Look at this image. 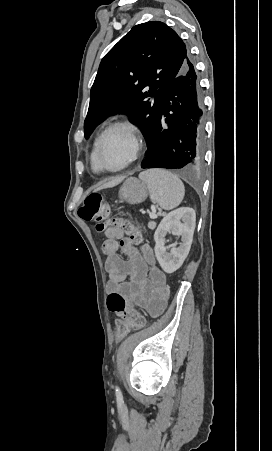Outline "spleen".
<instances>
[{
	"mask_svg": "<svg viewBox=\"0 0 272 451\" xmlns=\"http://www.w3.org/2000/svg\"><path fill=\"white\" fill-rule=\"evenodd\" d=\"M140 180L146 182L151 202L159 204L163 210H173L181 204L185 196L183 182L168 170H146L139 174Z\"/></svg>",
	"mask_w": 272,
	"mask_h": 451,
	"instance_id": "spleen-1",
	"label": "spleen"
}]
</instances>
